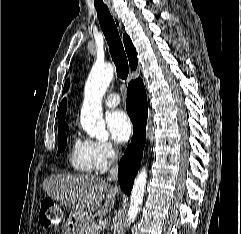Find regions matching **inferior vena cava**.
I'll return each mask as SVG.
<instances>
[{"instance_id": "obj_1", "label": "inferior vena cava", "mask_w": 241, "mask_h": 234, "mask_svg": "<svg viewBox=\"0 0 241 234\" xmlns=\"http://www.w3.org/2000/svg\"><path fill=\"white\" fill-rule=\"evenodd\" d=\"M117 174H118V165L116 163L110 169L107 181H115V180H117Z\"/></svg>"}]
</instances>
